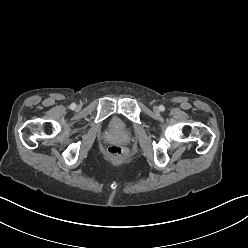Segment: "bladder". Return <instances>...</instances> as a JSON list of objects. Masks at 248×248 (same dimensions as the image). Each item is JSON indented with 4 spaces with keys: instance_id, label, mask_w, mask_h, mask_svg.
I'll return each instance as SVG.
<instances>
[{
    "instance_id": "1",
    "label": "bladder",
    "mask_w": 248,
    "mask_h": 248,
    "mask_svg": "<svg viewBox=\"0 0 248 248\" xmlns=\"http://www.w3.org/2000/svg\"><path fill=\"white\" fill-rule=\"evenodd\" d=\"M111 129L118 131L123 129V124L121 120L117 117H114L111 121Z\"/></svg>"
}]
</instances>
